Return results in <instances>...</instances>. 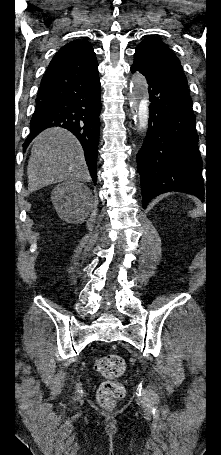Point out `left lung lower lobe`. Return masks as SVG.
Segmentation results:
<instances>
[{
	"label": "left lung lower lobe",
	"mask_w": 221,
	"mask_h": 455,
	"mask_svg": "<svg viewBox=\"0 0 221 455\" xmlns=\"http://www.w3.org/2000/svg\"><path fill=\"white\" fill-rule=\"evenodd\" d=\"M131 71H139L133 65ZM142 73L148 83L149 126L137 154L142 203L179 191L204 199L202 159L198 150L195 115L189 93L166 80Z\"/></svg>",
	"instance_id": "0a47b994"
}]
</instances>
